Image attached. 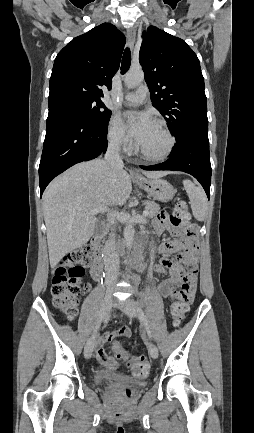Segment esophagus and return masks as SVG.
<instances>
[{"label":"esophagus","instance_id":"obj_1","mask_svg":"<svg viewBox=\"0 0 254 433\" xmlns=\"http://www.w3.org/2000/svg\"><path fill=\"white\" fill-rule=\"evenodd\" d=\"M135 38H136V31L134 28L130 27L127 29V40H128V44L130 46L131 49H133L134 47V43H135ZM131 175L134 177H139V174L136 172L135 169L131 170Z\"/></svg>","mask_w":254,"mask_h":433}]
</instances>
